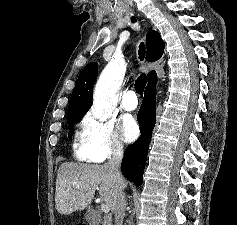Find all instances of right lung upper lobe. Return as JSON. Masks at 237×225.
I'll return each instance as SVG.
<instances>
[{
  "mask_svg": "<svg viewBox=\"0 0 237 225\" xmlns=\"http://www.w3.org/2000/svg\"><path fill=\"white\" fill-rule=\"evenodd\" d=\"M164 45L160 34L154 30H150L146 36V60L149 62L158 61L163 55ZM97 72L98 64L95 62L89 63L82 70L70 98L68 113L75 111L87 112L89 110ZM148 82L149 84L157 83L156 71H150L148 73Z\"/></svg>",
  "mask_w": 237,
  "mask_h": 225,
  "instance_id": "cb5924a9",
  "label": "right lung upper lobe"
}]
</instances>
